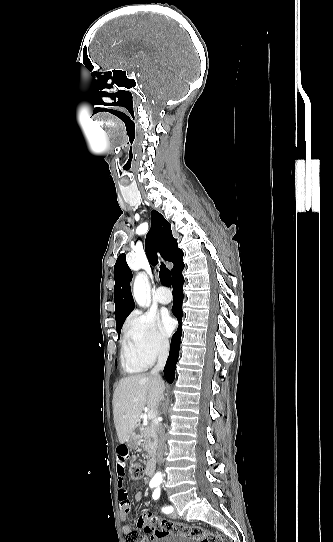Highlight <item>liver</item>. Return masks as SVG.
I'll use <instances>...</instances> for the list:
<instances>
[{
    "label": "liver",
    "mask_w": 333,
    "mask_h": 542,
    "mask_svg": "<svg viewBox=\"0 0 333 542\" xmlns=\"http://www.w3.org/2000/svg\"><path fill=\"white\" fill-rule=\"evenodd\" d=\"M164 390L163 380L150 374H133L120 380L113 396L114 424L120 444L137 428L144 408L158 410Z\"/></svg>",
    "instance_id": "1"
}]
</instances>
